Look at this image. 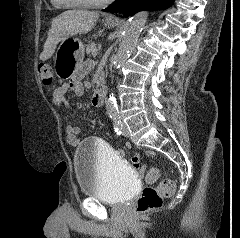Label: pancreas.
<instances>
[{
	"label": "pancreas",
	"instance_id": "pancreas-1",
	"mask_svg": "<svg viewBox=\"0 0 240 238\" xmlns=\"http://www.w3.org/2000/svg\"><path fill=\"white\" fill-rule=\"evenodd\" d=\"M95 50H97V48H96V44L94 42H91L86 46L87 54L93 55Z\"/></svg>",
	"mask_w": 240,
	"mask_h": 238
}]
</instances>
